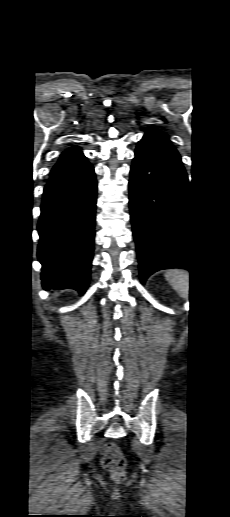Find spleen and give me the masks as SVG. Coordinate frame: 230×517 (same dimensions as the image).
Segmentation results:
<instances>
[{"instance_id": "3e777b00", "label": "spleen", "mask_w": 230, "mask_h": 517, "mask_svg": "<svg viewBox=\"0 0 230 517\" xmlns=\"http://www.w3.org/2000/svg\"><path fill=\"white\" fill-rule=\"evenodd\" d=\"M166 280L170 283L179 295L187 298L189 295V273L183 270H170L165 274Z\"/></svg>"}]
</instances>
